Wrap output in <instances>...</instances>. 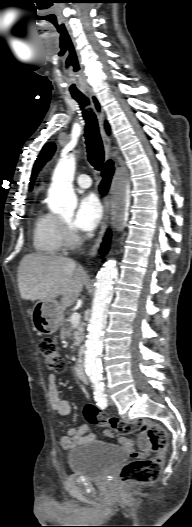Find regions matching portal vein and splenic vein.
I'll return each instance as SVG.
<instances>
[{"label":"portal vein and splenic vein","instance_id":"obj_1","mask_svg":"<svg viewBox=\"0 0 192 527\" xmlns=\"http://www.w3.org/2000/svg\"><path fill=\"white\" fill-rule=\"evenodd\" d=\"M80 318H81V317H80V314H79V313H77V312L73 313V314L71 315V318H70V321H71L72 326H77V325H79V323H80Z\"/></svg>","mask_w":192,"mask_h":527}]
</instances>
